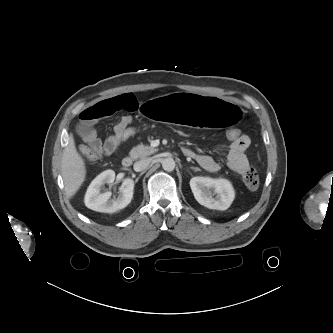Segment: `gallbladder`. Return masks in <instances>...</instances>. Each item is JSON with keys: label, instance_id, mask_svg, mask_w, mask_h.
<instances>
[{"label": "gallbladder", "instance_id": "obj_1", "mask_svg": "<svg viewBox=\"0 0 333 333\" xmlns=\"http://www.w3.org/2000/svg\"><path fill=\"white\" fill-rule=\"evenodd\" d=\"M77 131H83V132H89L90 131V128L88 126H79L77 128Z\"/></svg>", "mask_w": 333, "mask_h": 333}]
</instances>
